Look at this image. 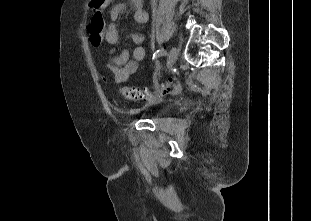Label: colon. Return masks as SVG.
<instances>
[{"label":"colon","instance_id":"5ec220e1","mask_svg":"<svg viewBox=\"0 0 311 221\" xmlns=\"http://www.w3.org/2000/svg\"><path fill=\"white\" fill-rule=\"evenodd\" d=\"M105 24L101 12H96L89 24V34L91 43L94 46H98L104 36ZM174 86L172 79L164 80L158 87L154 89L143 87H127L121 86L118 88V92L128 100L134 101H153L157 96L169 93Z\"/></svg>","mask_w":311,"mask_h":221}]
</instances>
